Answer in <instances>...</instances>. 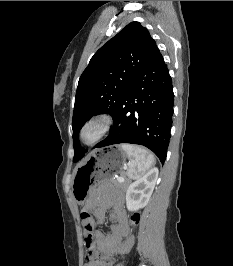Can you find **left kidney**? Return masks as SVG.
Returning a JSON list of instances; mask_svg holds the SVG:
<instances>
[{"instance_id":"1","label":"left kidney","mask_w":233,"mask_h":266,"mask_svg":"<svg viewBox=\"0 0 233 266\" xmlns=\"http://www.w3.org/2000/svg\"><path fill=\"white\" fill-rule=\"evenodd\" d=\"M158 178V169L153 168L143 177L130 183L126 191V206L129 211H137L147 205Z\"/></svg>"}]
</instances>
